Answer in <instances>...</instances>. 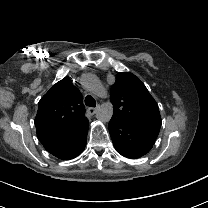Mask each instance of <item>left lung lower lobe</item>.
Segmentation results:
<instances>
[{
	"mask_svg": "<svg viewBox=\"0 0 208 208\" xmlns=\"http://www.w3.org/2000/svg\"><path fill=\"white\" fill-rule=\"evenodd\" d=\"M108 126L116 151L126 158H140L147 154L154 145L131 125L121 120L112 118Z\"/></svg>",
	"mask_w": 208,
	"mask_h": 208,
	"instance_id": "0a47b994",
	"label": "left lung lower lobe"
}]
</instances>
